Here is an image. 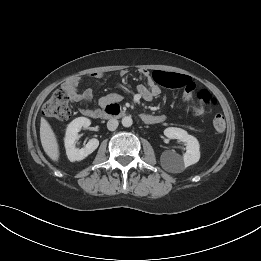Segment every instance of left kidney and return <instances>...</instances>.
I'll return each instance as SVG.
<instances>
[{
  "mask_svg": "<svg viewBox=\"0 0 261 261\" xmlns=\"http://www.w3.org/2000/svg\"><path fill=\"white\" fill-rule=\"evenodd\" d=\"M164 135L169 139H178L186 145V153L183 157L171 151L162 153L161 164L165 169L172 172H180L184 168L199 161V142L194 136L189 135L185 130L176 127L166 128L164 130Z\"/></svg>",
  "mask_w": 261,
  "mask_h": 261,
  "instance_id": "1",
  "label": "left kidney"
}]
</instances>
